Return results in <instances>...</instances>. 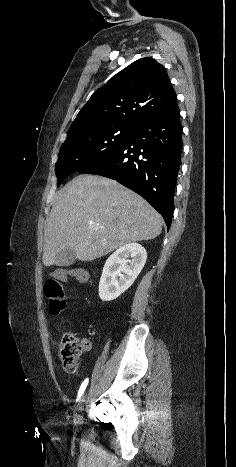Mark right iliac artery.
<instances>
[{
  "instance_id": "right-iliac-artery-1",
  "label": "right iliac artery",
  "mask_w": 236,
  "mask_h": 467,
  "mask_svg": "<svg viewBox=\"0 0 236 467\" xmlns=\"http://www.w3.org/2000/svg\"><path fill=\"white\" fill-rule=\"evenodd\" d=\"M88 381H89V379L87 378V379H85V380L83 381V383L81 384L80 389H79V391H78L77 401L80 399V397H81L82 394L84 393V391H85V389H86V387H87V385H88Z\"/></svg>"
}]
</instances>
